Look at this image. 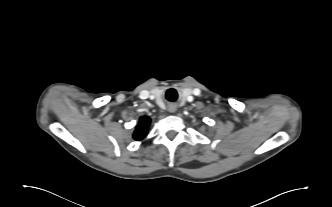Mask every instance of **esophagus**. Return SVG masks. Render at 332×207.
I'll return each mask as SVG.
<instances>
[{
	"label": "esophagus",
	"mask_w": 332,
	"mask_h": 207,
	"mask_svg": "<svg viewBox=\"0 0 332 207\" xmlns=\"http://www.w3.org/2000/svg\"><path fill=\"white\" fill-rule=\"evenodd\" d=\"M168 111H169L170 113H174V112L176 111V106H175V105H170V106L168 107Z\"/></svg>",
	"instance_id": "34e87169"
}]
</instances>
